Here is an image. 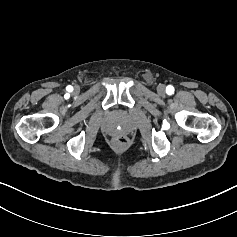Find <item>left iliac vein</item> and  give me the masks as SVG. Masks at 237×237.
Listing matches in <instances>:
<instances>
[{
    "label": "left iliac vein",
    "mask_w": 237,
    "mask_h": 237,
    "mask_svg": "<svg viewBox=\"0 0 237 237\" xmlns=\"http://www.w3.org/2000/svg\"><path fill=\"white\" fill-rule=\"evenodd\" d=\"M157 92L159 94H164L165 93V86L163 84H159L157 87Z\"/></svg>",
    "instance_id": "obj_1"
}]
</instances>
